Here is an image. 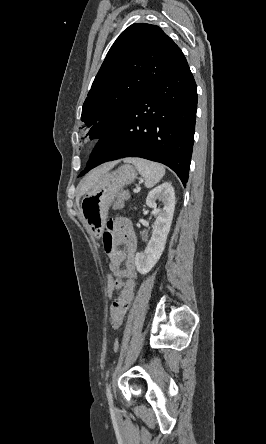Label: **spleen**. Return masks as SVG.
Wrapping results in <instances>:
<instances>
[{
  "instance_id": "3e777b00",
  "label": "spleen",
  "mask_w": 266,
  "mask_h": 444,
  "mask_svg": "<svg viewBox=\"0 0 266 444\" xmlns=\"http://www.w3.org/2000/svg\"><path fill=\"white\" fill-rule=\"evenodd\" d=\"M125 162L136 166L141 176L145 178V186L147 188L155 186L165 174L163 165L143 158H127Z\"/></svg>"
}]
</instances>
